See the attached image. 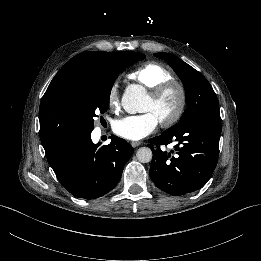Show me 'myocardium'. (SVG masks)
<instances>
[{
    "mask_svg": "<svg viewBox=\"0 0 261 261\" xmlns=\"http://www.w3.org/2000/svg\"><path fill=\"white\" fill-rule=\"evenodd\" d=\"M178 95V104L175 111L167 118L161 119L159 122L163 127L174 125L183 115L187 105V93L184 86L175 80H170L159 84L153 89L149 95L152 102L156 103L170 93Z\"/></svg>",
    "mask_w": 261,
    "mask_h": 261,
    "instance_id": "obj_1",
    "label": "myocardium"
}]
</instances>
